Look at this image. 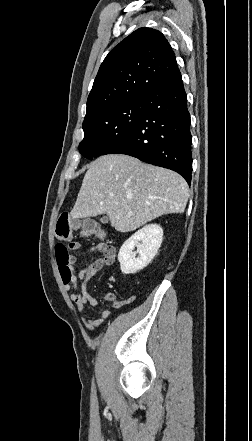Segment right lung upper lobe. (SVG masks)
Returning <instances> with one entry per match:
<instances>
[{
    "label": "right lung upper lobe",
    "mask_w": 252,
    "mask_h": 441,
    "mask_svg": "<svg viewBox=\"0 0 252 441\" xmlns=\"http://www.w3.org/2000/svg\"><path fill=\"white\" fill-rule=\"evenodd\" d=\"M178 70L164 35L139 28L102 62L87 100L85 119L104 109L143 97Z\"/></svg>",
    "instance_id": "cb5924a9"
}]
</instances>
